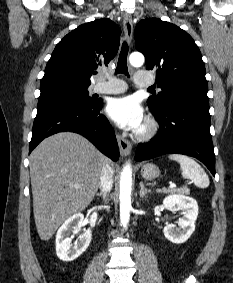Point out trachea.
Segmentation results:
<instances>
[{"label":"trachea","mask_w":233,"mask_h":283,"mask_svg":"<svg viewBox=\"0 0 233 283\" xmlns=\"http://www.w3.org/2000/svg\"><path fill=\"white\" fill-rule=\"evenodd\" d=\"M127 55H128V44L127 42H123L117 63L116 74L122 73L128 76ZM149 90H152V88H149Z\"/></svg>","instance_id":"obj_1"}]
</instances>
